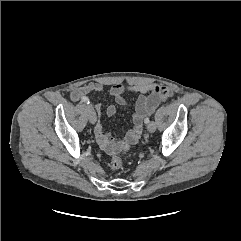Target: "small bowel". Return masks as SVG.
Here are the masks:
<instances>
[{
	"instance_id": "1",
	"label": "small bowel",
	"mask_w": 241,
	"mask_h": 241,
	"mask_svg": "<svg viewBox=\"0 0 241 241\" xmlns=\"http://www.w3.org/2000/svg\"><path fill=\"white\" fill-rule=\"evenodd\" d=\"M103 90L102 84L89 83L73 89L70 94L72 101H79L91 92H100ZM137 92L139 97L136 101L135 112L132 117V128L122 137H113L104 131L100 122H97L94 128L96 140L103 151L109 155L119 153L129 146L135 144L141 135L143 119L149 115L153 109L163 100L172 95V90L161 84H144V85H122L116 84L110 87L109 94L119 106H126L128 103L124 98L125 93ZM95 108L98 114L101 111V104L96 103ZM117 107L113 104L107 106L106 114L114 116Z\"/></svg>"
}]
</instances>
